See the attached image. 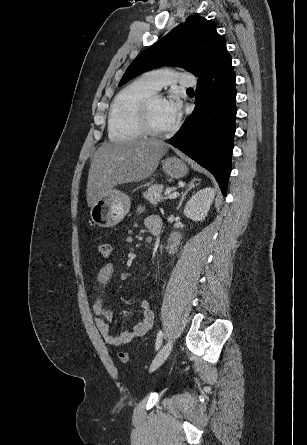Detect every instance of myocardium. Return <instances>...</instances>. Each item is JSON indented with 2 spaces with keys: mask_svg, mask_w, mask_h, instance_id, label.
I'll use <instances>...</instances> for the list:
<instances>
[{
  "mask_svg": "<svg viewBox=\"0 0 307 445\" xmlns=\"http://www.w3.org/2000/svg\"><path fill=\"white\" fill-rule=\"evenodd\" d=\"M158 98H162L161 94L159 92H154L149 95L139 107V115L145 134L151 136L147 137L146 139H159V136L171 135L175 133L179 127V123L177 122H175L174 125L167 130H159L154 127L151 121L150 111L153 102Z\"/></svg>",
  "mask_w": 307,
  "mask_h": 445,
  "instance_id": "f54148a6",
  "label": "myocardium"
}]
</instances>
